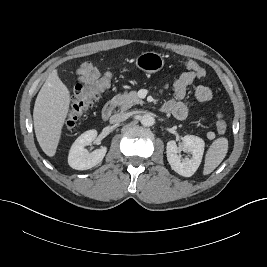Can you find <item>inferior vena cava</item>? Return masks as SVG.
Wrapping results in <instances>:
<instances>
[{"label": "inferior vena cava", "mask_w": 267, "mask_h": 267, "mask_svg": "<svg viewBox=\"0 0 267 267\" xmlns=\"http://www.w3.org/2000/svg\"><path fill=\"white\" fill-rule=\"evenodd\" d=\"M127 118H128V116L125 113L114 114L110 118V123L111 124H117V123L125 121Z\"/></svg>", "instance_id": "obj_1"}]
</instances>
